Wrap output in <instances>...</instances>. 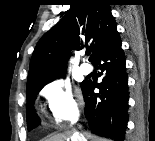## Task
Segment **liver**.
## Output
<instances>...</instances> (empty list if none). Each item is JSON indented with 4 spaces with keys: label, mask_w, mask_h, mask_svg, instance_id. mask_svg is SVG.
Returning a JSON list of instances; mask_svg holds the SVG:
<instances>
[{
    "label": "liver",
    "mask_w": 155,
    "mask_h": 141,
    "mask_svg": "<svg viewBox=\"0 0 155 141\" xmlns=\"http://www.w3.org/2000/svg\"><path fill=\"white\" fill-rule=\"evenodd\" d=\"M72 132H65V133H61V134H57L54 135L50 138H48L46 141H70V139H80V137L77 136H71ZM86 136L88 139H93V141H106L103 138H98L94 135H91L90 133H86ZM71 141H75V140H71Z\"/></svg>",
    "instance_id": "1"
}]
</instances>
